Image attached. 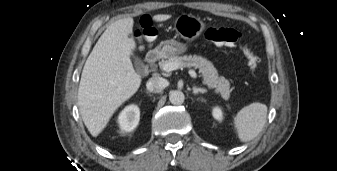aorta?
<instances>
[{
  "mask_svg": "<svg viewBox=\"0 0 337 171\" xmlns=\"http://www.w3.org/2000/svg\"><path fill=\"white\" fill-rule=\"evenodd\" d=\"M169 100L173 105H181L185 100V96L182 91L173 90L169 94Z\"/></svg>",
  "mask_w": 337,
  "mask_h": 171,
  "instance_id": "aorta-1",
  "label": "aorta"
}]
</instances>
